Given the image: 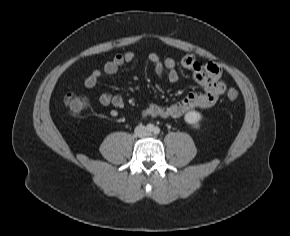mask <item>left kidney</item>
<instances>
[{"mask_svg":"<svg viewBox=\"0 0 290 236\" xmlns=\"http://www.w3.org/2000/svg\"><path fill=\"white\" fill-rule=\"evenodd\" d=\"M184 119H185V121L188 124H191L195 128H198L199 127V122L202 119V115L198 111H189L188 113L185 114Z\"/></svg>","mask_w":290,"mask_h":236,"instance_id":"1","label":"left kidney"}]
</instances>
